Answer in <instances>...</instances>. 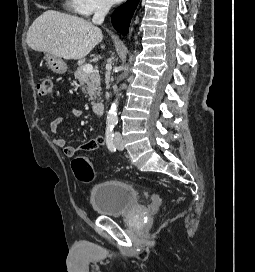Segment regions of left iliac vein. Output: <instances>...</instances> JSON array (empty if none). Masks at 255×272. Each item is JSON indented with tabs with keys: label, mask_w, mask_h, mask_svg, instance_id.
I'll return each instance as SVG.
<instances>
[{
	"label": "left iliac vein",
	"mask_w": 255,
	"mask_h": 272,
	"mask_svg": "<svg viewBox=\"0 0 255 272\" xmlns=\"http://www.w3.org/2000/svg\"><path fill=\"white\" fill-rule=\"evenodd\" d=\"M115 145L117 147L118 150H123L124 149V144H123V140L120 134H116L115 135Z\"/></svg>",
	"instance_id": "obj_1"
}]
</instances>
